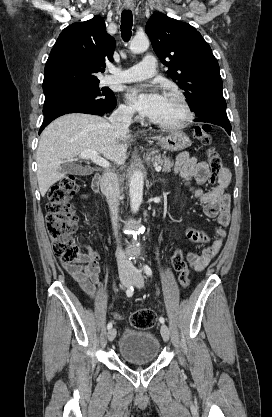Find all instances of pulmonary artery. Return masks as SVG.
<instances>
[{"label":"pulmonary artery","mask_w":272,"mask_h":417,"mask_svg":"<svg viewBox=\"0 0 272 417\" xmlns=\"http://www.w3.org/2000/svg\"><path fill=\"white\" fill-rule=\"evenodd\" d=\"M156 72V59L152 55H146L143 60L123 71H113L107 78V83H127L141 81L152 77Z\"/></svg>","instance_id":"1"}]
</instances>
